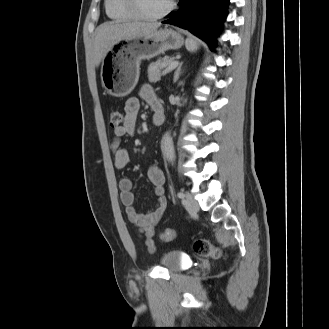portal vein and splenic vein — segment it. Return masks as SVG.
Returning <instances> with one entry per match:
<instances>
[{"label":"portal vein and splenic vein","instance_id":"portal-vein-and-splenic-vein-1","mask_svg":"<svg viewBox=\"0 0 329 329\" xmlns=\"http://www.w3.org/2000/svg\"><path fill=\"white\" fill-rule=\"evenodd\" d=\"M178 65V61H173L168 67L163 71L164 74L173 70Z\"/></svg>","mask_w":329,"mask_h":329}]
</instances>
